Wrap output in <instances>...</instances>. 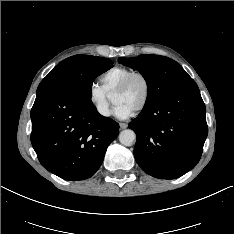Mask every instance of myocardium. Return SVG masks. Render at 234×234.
Returning a JSON list of instances; mask_svg holds the SVG:
<instances>
[{
	"instance_id": "obj_1",
	"label": "myocardium",
	"mask_w": 234,
	"mask_h": 234,
	"mask_svg": "<svg viewBox=\"0 0 234 234\" xmlns=\"http://www.w3.org/2000/svg\"><path fill=\"white\" fill-rule=\"evenodd\" d=\"M136 78H141L145 84V95H144L143 101L138 106V108L134 111V114H139L147 107L151 98V82L144 73L138 72V71L131 73L116 88V90L113 93V96L124 93L129 88L133 80Z\"/></svg>"
}]
</instances>
